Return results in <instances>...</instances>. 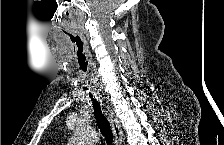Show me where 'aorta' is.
<instances>
[{
	"instance_id": "1",
	"label": "aorta",
	"mask_w": 224,
	"mask_h": 145,
	"mask_svg": "<svg viewBox=\"0 0 224 145\" xmlns=\"http://www.w3.org/2000/svg\"><path fill=\"white\" fill-rule=\"evenodd\" d=\"M97 141V133L88 127H79L72 138L73 145H93Z\"/></svg>"
}]
</instances>
